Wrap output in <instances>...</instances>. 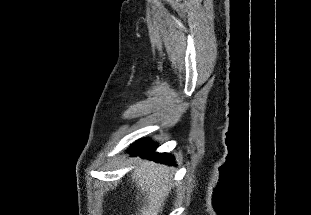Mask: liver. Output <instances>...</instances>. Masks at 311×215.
Instances as JSON below:
<instances>
[{
  "instance_id": "6515ba94",
  "label": "liver",
  "mask_w": 311,
  "mask_h": 215,
  "mask_svg": "<svg viewBox=\"0 0 311 215\" xmlns=\"http://www.w3.org/2000/svg\"><path fill=\"white\" fill-rule=\"evenodd\" d=\"M136 160L140 159L137 158ZM132 180L135 181L136 187L140 190L137 199L144 196L142 199L144 204L139 209L140 213L136 215H158L161 213L164 201L171 192V187H173L172 173L169 168L146 160L135 168Z\"/></svg>"
}]
</instances>
